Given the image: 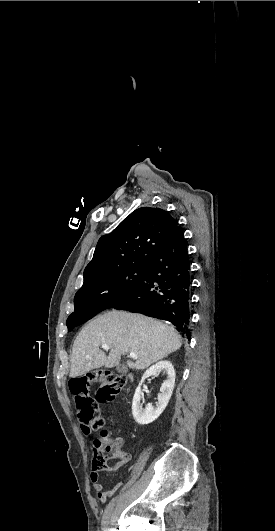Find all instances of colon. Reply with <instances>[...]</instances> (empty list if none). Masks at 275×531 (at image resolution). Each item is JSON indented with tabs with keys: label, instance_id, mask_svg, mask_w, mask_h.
<instances>
[{
	"label": "colon",
	"instance_id": "obj_1",
	"mask_svg": "<svg viewBox=\"0 0 275 531\" xmlns=\"http://www.w3.org/2000/svg\"><path fill=\"white\" fill-rule=\"evenodd\" d=\"M92 382L99 384L96 399L92 395ZM125 387L122 375L103 369L89 372L88 375L72 376V400L77 409V421L90 423L92 430L104 416L97 409V401L108 402L117 396ZM103 451L99 459V469L113 470L120 465V440L110 437V431H101Z\"/></svg>",
	"mask_w": 275,
	"mask_h": 531
}]
</instances>
